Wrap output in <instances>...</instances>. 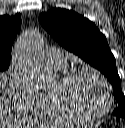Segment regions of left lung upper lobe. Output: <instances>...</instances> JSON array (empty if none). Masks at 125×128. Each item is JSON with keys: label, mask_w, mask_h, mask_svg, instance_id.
Segmentation results:
<instances>
[{"label": "left lung upper lobe", "mask_w": 125, "mask_h": 128, "mask_svg": "<svg viewBox=\"0 0 125 128\" xmlns=\"http://www.w3.org/2000/svg\"><path fill=\"white\" fill-rule=\"evenodd\" d=\"M39 22L65 49L101 71L114 88L118 108L113 115L125 118V96L106 37L95 24L74 11L54 8L39 16Z\"/></svg>", "instance_id": "left-lung-upper-lobe-1"}]
</instances>
